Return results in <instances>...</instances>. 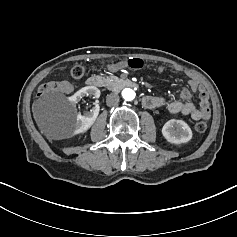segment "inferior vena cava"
<instances>
[{
    "label": "inferior vena cava",
    "instance_id": "inferior-vena-cava-1",
    "mask_svg": "<svg viewBox=\"0 0 237 237\" xmlns=\"http://www.w3.org/2000/svg\"><path fill=\"white\" fill-rule=\"evenodd\" d=\"M120 101V97L117 94H109L106 97V103L108 106L116 105Z\"/></svg>",
    "mask_w": 237,
    "mask_h": 237
}]
</instances>
